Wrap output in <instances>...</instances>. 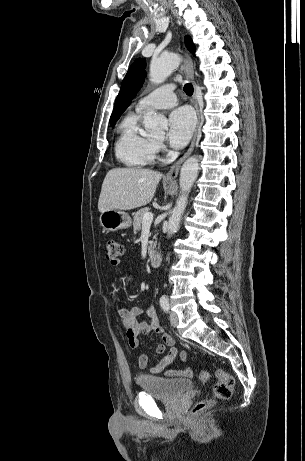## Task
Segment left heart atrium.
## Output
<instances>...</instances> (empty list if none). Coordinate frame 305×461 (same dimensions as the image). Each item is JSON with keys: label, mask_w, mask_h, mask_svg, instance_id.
I'll return each mask as SVG.
<instances>
[{"label": "left heart atrium", "mask_w": 305, "mask_h": 461, "mask_svg": "<svg viewBox=\"0 0 305 461\" xmlns=\"http://www.w3.org/2000/svg\"><path fill=\"white\" fill-rule=\"evenodd\" d=\"M167 139L174 148L184 147L190 140L195 127V118L187 107L174 110L168 119Z\"/></svg>", "instance_id": "obj_1"}]
</instances>
